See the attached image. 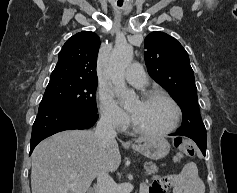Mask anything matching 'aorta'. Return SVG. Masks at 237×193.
Listing matches in <instances>:
<instances>
[{"mask_svg": "<svg viewBox=\"0 0 237 193\" xmlns=\"http://www.w3.org/2000/svg\"><path fill=\"white\" fill-rule=\"evenodd\" d=\"M133 57L132 46L126 43L115 45L108 63V73L115 86L117 94L125 101L130 102L135 98L132 90L128 89L124 79V73L127 66L131 63ZM127 193V191H123Z\"/></svg>", "mask_w": 237, "mask_h": 193, "instance_id": "obj_1", "label": "aorta"}]
</instances>
